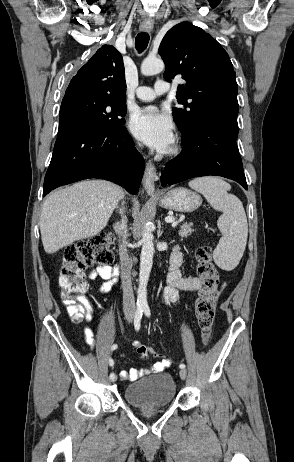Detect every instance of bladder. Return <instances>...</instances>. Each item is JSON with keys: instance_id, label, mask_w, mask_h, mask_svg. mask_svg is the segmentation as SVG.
<instances>
[{"instance_id": "obj_1", "label": "bladder", "mask_w": 294, "mask_h": 462, "mask_svg": "<svg viewBox=\"0 0 294 462\" xmlns=\"http://www.w3.org/2000/svg\"><path fill=\"white\" fill-rule=\"evenodd\" d=\"M176 397V383L171 374L159 372L129 384L124 398L139 408H161L169 405Z\"/></svg>"}]
</instances>
